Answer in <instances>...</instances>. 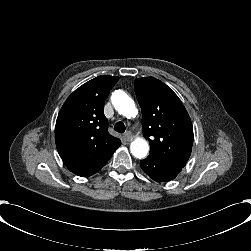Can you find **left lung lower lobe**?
Wrapping results in <instances>:
<instances>
[{"mask_svg": "<svg viewBox=\"0 0 251 251\" xmlns=\"http://www.w3.org/2000/svg\"><path fill=\"white\" fill-rule=\"evenodd\" d=\"M142 170L157 182H166L174 179L182 168L165 163L154 157L148 156L140 162Z\"/></svg>", "mask_w": 251, "mask_h": 251, "instance_id": "left-lung-lower-lobe-1", "label": "left lung lower lobe"}]
</instances>
